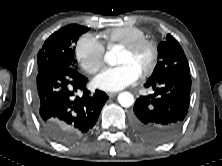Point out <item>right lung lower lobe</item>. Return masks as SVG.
Listing matches in <instances>:
<instances>
[{
    "label": "right lung lower lobe",
    "mask_w": 222,
    "mask_h": 166,
    "mask_svg": "<svg viewBox=\"0 0 222 166\" xmlns=\"http://www.w3.org/2000/svg\"><path fill=\"white\" fill-rule=\"evenodd\" d=\"M87 78L69 66L54 65L38 71L33 100L44 132L54 141L73 143L97 122L108 96L99 90L91 95ZM82 91L81 96L76 92Z\"/></svg>",
    "instance_id": "98d812e1"
}]
</instances>
